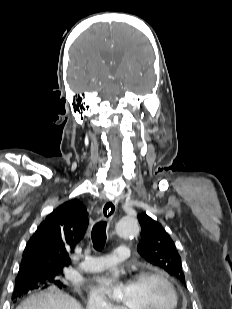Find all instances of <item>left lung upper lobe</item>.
Masks as SVG:
<instances>
[{
    "mask_svg": "<svg viewBox=\"0 0 232 309\" xmlns=\"http://www.w3.org/2000/svg\"><path fill=\"white\" fill-rule=\"evenodd\" d=\"M141 241L137 247L139 254L150 264L159 267L171 276L185 283L181 257L177 248L161 224L146 214L138 215Z\"/></svg>",
    "mask_w": 232,
    "mask_h": 309,
    "instance_id": "5c2ea615",
    "label": "left lung upper lobe"
}]
</instances>
